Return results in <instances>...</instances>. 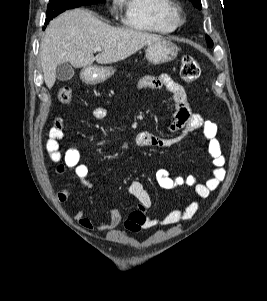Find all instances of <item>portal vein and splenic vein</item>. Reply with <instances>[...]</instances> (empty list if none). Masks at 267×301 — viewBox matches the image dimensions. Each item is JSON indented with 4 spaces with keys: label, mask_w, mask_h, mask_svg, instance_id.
I'll use <instances>...</instances> for the list:
<instances>
[{
    "label": "portal vein and splenic vein",
    "mask_w": 267,
    "mask_h": 301,
    "mask_svg": "<svg viewBox=\"0 0 267 301\" xmlns=\"http://www.w3.org/2000/svg\"><path fill=\"white\" fill-rule=\"evenodd\" d=\"M94 51H101V47H95Z\"/></svg>",
    "instance_id": "18ae733b"
}]
</instances>
